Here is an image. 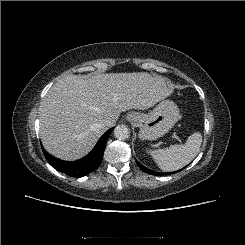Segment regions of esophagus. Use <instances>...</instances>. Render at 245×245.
Returning <instances> with one entry per match:
<instances>
[{"mask_svg":"<svg viewBox=\"0 0 245 245\" xmlns=\"http://www.w3.org/2000/svg\"><path fill=\"white\" fill-rule=\"evenodd\" d=\"M128 120H134V116L133 115H129L128 116Z\"/></svg>","mask_w":245,"mask_h":245,"instance_id":"esophagus-1","label":"esophagus"}]
</instances>
